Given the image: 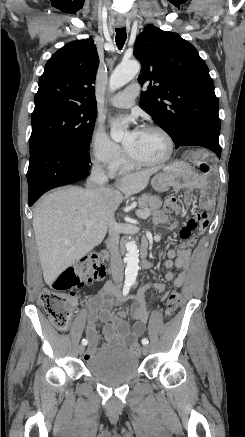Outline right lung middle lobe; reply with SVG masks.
Returning <instances> with one entry per match:
<instances>
[{
    "mask_svg": "<svg viewBox=\"0 0 245 437\" xmlns=\"http://www.w3.org/2000/svg\"><path fill=\"white\" fill-rule=\"evenodd\" d=\"M96 117V108L57 102L35 106L31 114L30 153L46 143L70 151L89 150Z\"/></svg>",
    "mask_w": 245,
    "mask_h": 437,
    "instance_id": "right-lung-middle-lobe-1",
    "label": "right lung middle lobe"
}]
</instances>
